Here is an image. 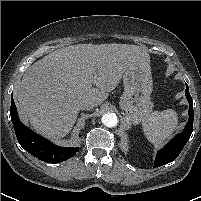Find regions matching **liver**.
Wrapping results in <instances>:
<instances>
[{"label":"liver","instance_id":"6515ba94","mask_svg":"<svg viewBox=\"0 0 201 201\" xmlns=\"http://www.w3.org/2000/svg\"><path fill=\"white\" fill-rule=\"evenodd\" d=\"M139 60L150 61L149 54L130 44H78L55 50L26 70L15 92L18 110L39 134L61 139L77 119L78 104H102Z\"/></svg>","mask_w":201,"mask_h":201}]
</instances>
